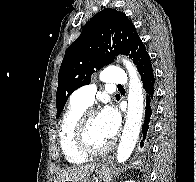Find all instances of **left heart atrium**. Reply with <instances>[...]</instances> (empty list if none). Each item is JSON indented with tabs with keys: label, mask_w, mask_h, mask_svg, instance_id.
Listing matches in <instances>:
<instances>
[{
	"label": "left heart atrium",
	"mask_w": 196,
	"mask_h": 182,
	"mask_svg": "<svg viewBox=\"0 0 196 182\" xmlns=\"http://www.w3.org/2000/svg\"><path fill=\"white\" fill-rule=\"evenodd\" d=\"M99 125L108 139H112L119 127V115L112 107H106L98 115Z\"/></svg>",
	"instance_id": "39dd6f15"
}]
</instances>
